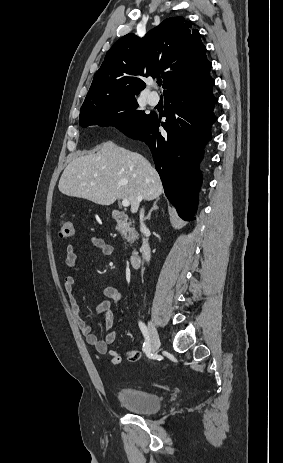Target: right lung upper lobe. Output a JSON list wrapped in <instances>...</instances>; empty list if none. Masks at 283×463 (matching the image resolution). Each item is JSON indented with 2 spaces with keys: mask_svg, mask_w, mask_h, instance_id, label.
<instances>
[{
  "mask_svg": "<svg viewBox=\"0 0 283 463\" xmlns=\"http://www.w3.org/2000/svg\"><path fill=\"white\" fill-rule=\"evenodd\" d=\"M183 17H171L142 39L133 33L107 52L83 105L114 97H135L146 86L143 77L162 76L164 94L209 76L212 64L198 30Z\"/></svg>",
  "mask_w": 283,
  "mask_h": 463,
  "instance_id": "1",
  "label": "right lung upper lobe"
}]
</instances>
